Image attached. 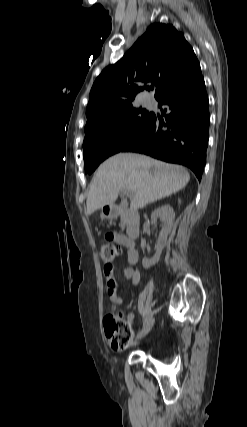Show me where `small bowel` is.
I'll list each match as a JSON object with an SVG mask.
<instances>
[{
    "label": "small bowel",
    "instance_id": "small-bowel-1",
    "mask_svg": "<svg viewBox=\"0 0 247 427\" xmlns=\"http://www.w3.org/2000/svg\"><path fill=\"white\" fill-rule=\"evenodd\" d=\"M106 238L112 239L119 245L125 246L128 248L127 252V266L123 269V275L132 282L133 285H138L140 281V272L136 268L138 262V252L135 249L133 243L127 240L126 236L121 234L111 235L110 231L106 232ZM107 243H110V240H107ZM103 272L106 278L107 284V293L109 300L112 304V311L116 312L120 305H122L123 300L118 292V283L114 277V266L113 264H105ZM135 319L133 313H129L126 316L125 321L131 324Z\"/></svg>",
    "mask_w": 247,
    "mask_h": 427
}]
</instances>
